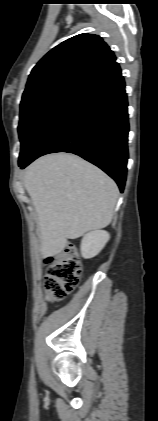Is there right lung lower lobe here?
<instances>
[{"instance_id":"obj_1","label":"right lung lower lobe","mask_w":158,"mask_h":421,"mask_svg":"<svg viewBox=\"0 0 158 421\" xmlns=\"http://www.w3.org/2000/svg\"><path fill=\"white\" fill-rule=\"evenodd\" d=\"M127 106L125 82L114 62L65 102L19 166L23 169L48 153H74L105 171L123 192L128 160Z\"/></svg>"}]
</instances>
